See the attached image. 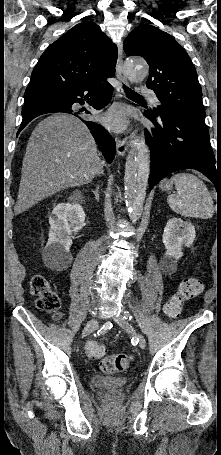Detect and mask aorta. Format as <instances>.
<instances>
[{
	"label": "aorta",
	"instance_id": "obj_1",
	"mask_svg": "<svg viewBox=\"0 0 221 455\" xmlns=\"http://www.w3.org/2000/svg\"><path fill=\"white\" fill-rule=\"evenodd\" d=\"M148 72V65L143 59L130 57L124 62V73L130 81H142ZM149 173V149L145 143L137 141L127 156L124 176L126 205L134 220H137L143 211Z\"/></svg>",
	"mask_w": 221,
	"mask_h": 455
}]
</instances>
